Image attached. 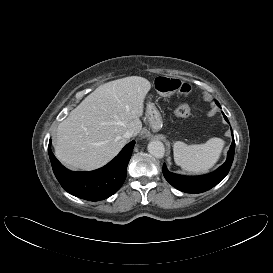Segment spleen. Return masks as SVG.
Instances as JSON below:
<instances>
[{
	"mask_svg": "<svg viewBox=\"0 0 273 273\" xmlns=\"http://www.w3.org/2000/svg\"><path fill=\"white\" fill-rule=\"evenodd\" d=\"M224 141L211 138L204 144L187 145L184 142L174 143V161L183 170L190 173H206L219 160Z\"/></svg>",
	"mask_w": 273,
	"mask_h": 273,
	"instance_id": "spleen-1",
	"label": "spleen"
}]
</instances>
